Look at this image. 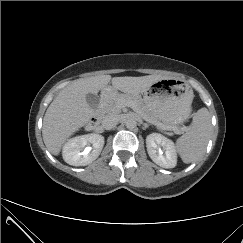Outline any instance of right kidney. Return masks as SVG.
Listing matches in <instances>:
<instances>
[{"label": "right kidney", "instance_id": "1", "mask_svg": "<svg viewBox=\"0 0 243 243\" xmlns=\"http://www.w3.org/2000/svg\"><path fill=\"white\" fill-rule=\"evenodd\" d=\"M103 146L102 135L91 133L77 136L69 139L63 146V159L72 166H86L98 158Z\"/></svg>", "mask_w": 243, "mask_h": 243}]
</instances>
